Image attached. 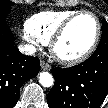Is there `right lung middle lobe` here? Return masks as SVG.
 <instances>
[{"label": "right lung middle lobe", "mask_w": 108, "mask_h": 108, "mask_svg": "<svg viewBox=\"0 0 108 108\" xmlns=\"http://www.w3.org/2000/svg\"><path fill=\"white\" fill-rule=\"evenodd\" d=\"M13 4L14 3L9 0H0V19H5Z\"/></svg>", "instance_id": "right-lung-middle-lobe-1"}]
</instances>
